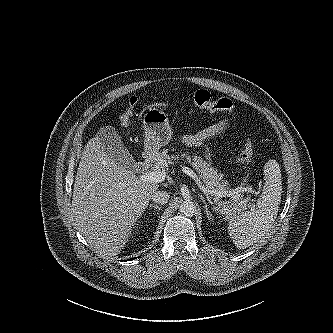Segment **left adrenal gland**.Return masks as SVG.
<instances>
[{
    "instance_id": "obj_1",
    "label": "left adrenal gland",
    "mask_w": 333,
    "mask_h": 333,
    "mask_svg": "<svg viewBox=\"0 0 333 333\" xmlns=\"http://www.w3.org/2000/svg\"><path fill=\"white\" fill-rule=\"evenodd\" d=\"M198 196L200 197L201 201L203 202L204 204V211L206 213V216L209 220H212V214L210 213V211L208 210V206H207V203H206V200L205 198L201 195V194H198Z\"/></svg>"
}]
</instances>
